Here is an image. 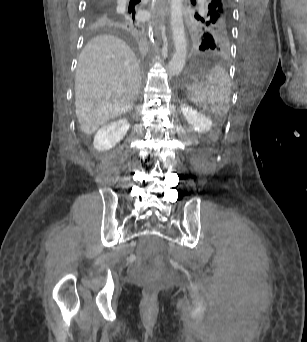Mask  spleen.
Returning <instances> with one entry per match:
<instances>
[{
    "label": "spleen",
    "mask_w": 307,
    "mask_h": 342,
    "mask_svg": "<svg viewBox=\"0 0 307 342\" xmlns=\"http://www.w3.org/2000/svg\"><path fill=\"white\" fill-rule=\"evenodd\" d=\"M188 90H192L191 100L196 104H203V110L208 114H225L229 110L231 80L224 68L214 66L205 76V84L188 83Z\"/></svg>",
    "instance_id": "spleen-1"
}]
</instances>
